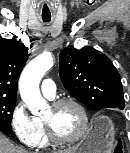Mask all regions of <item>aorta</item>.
<instances>
[{"label": "aorta", "mask_w": 130, "mask_h": 153, "mask_svg": "<svg viewBox=\"0 0 130 153\" xmlns=\"http://www.w3.org/2000/svg\"><path fill=\"white\" fill-rule=\"evenodd\" d=\"M53 63L52 55L43 53L29 62L20 76V95L32 114L42 113L48 108L47 101L40 93L39 83Z\"/></svg>", "instance_id": "762f6f07"}]
</instances>
